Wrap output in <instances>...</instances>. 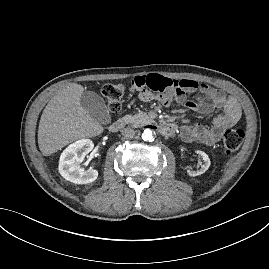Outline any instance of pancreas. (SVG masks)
Instances as JSON below:
<instances>
[{"label": "pancreas", "instance_id": "obj_1", "mask_svg": "<svg viewBox=\"0 0 269 269\" xmlns=\"http://www.w3.org/2000/svg\"><path fill=\"white\" fill-rule=\"evenodd\" d=\"M150 120L149 116L144 112H139L135 115H125L122 118L124 124H129L133 127H142Z\"/></svg>", "mask_w": 269, "mask_h": 269}]
</instances>
